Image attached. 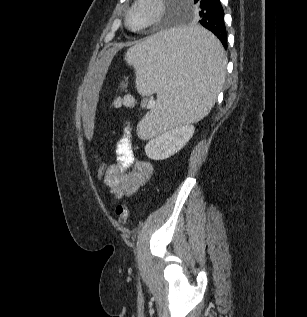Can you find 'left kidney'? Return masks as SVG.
I'll use <instances>...</instances> for the list:
<instances>
[{"instance_id": "5707ae66", "label": "left kidney", "mask_w": 307, "mask_h": 317, "mask_svg": "<svg viewBox=\"0 0 307 317\" xmlns=\"http://www.w3.org/2000/svg\"><path fill=\"white\" fill-rule=\"evenodd\" d=\"M193 125H177L151 139L145 146L146 155L153 160H163L177 153L193 136Z\"/></svg>"}]
</instances>
